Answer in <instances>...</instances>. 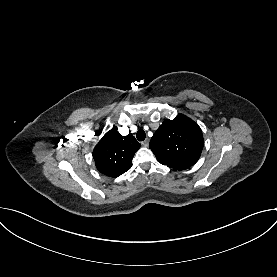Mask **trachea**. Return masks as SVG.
Instances as JSON below:
<instances>
[{"instance_id":"3493384b","label":"trachea","mask_w":277,"mask_h":277,"mask_svg":"<svg viewBox=\"0 0 277 277\" xmlns=\"http://www.w3.org/2000/svg\"><path fill=\"white\" fill-rule=\"evenodd\" d=\"M136 137L138 139V141H143L146 137V133L144 130L140 129L137 131Z\"/></svg>"}]
</instances>
